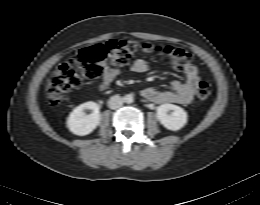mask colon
Wrapping results in <instances>:
<instances>
[{
  "label": "colon",
  "instance_id": "1",
  "mask_svg": "<svg viewBox=\"0 0 260 205\" xmlns=\"http://www.w3.org/2000/svg\"><path fill=\"white\" fill-rule=\"evenodd\" d=\"M152 52L160 55L176 70H183L191 60L190 54L181 48L155 46L135 40H111L92 45L81 49L73 58L54 69L45 89L48 103L52 106L60 104L72 89L80 87L86 80L101 76L104 63L122 66L138 53ZM210 94V84L199 81L196 85L197 98L205 100Z\"/></svg>",
  "mask_w": 260,
  "mask_h": 205
}]
</instances>
